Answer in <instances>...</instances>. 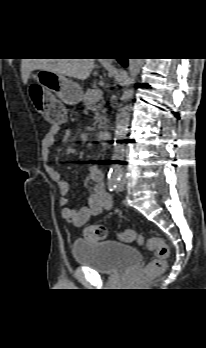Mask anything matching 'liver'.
<instances>
[{"mask_svg":"<svg viewBox=\"0 0 206 348\" xmlns=\"http://www.w3.org/2000/svg\"><path fill=\"white\" fill-rule=\"evenodd\" d=\"M95 59H23L21 76L24 84L34 70L44 69L60 75L86 80L93 71ZM94 76L98 72L93 73Z\"/></svg>","mask_w":206,"mask_h":348,"instance_id":"obj_1","label":"liver"}]
</instances>
